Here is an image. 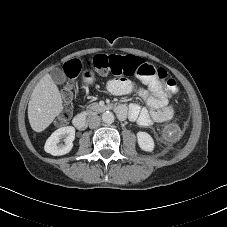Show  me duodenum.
<instances>
[{"instance_id":"obj_1","label":"duodenum","mask_w":227,"mask_h":227,"mask_svg":"<svg viewBox=\"0 0 227 227\" xmlns=\"http://www.w3.org/2000/svg\"><path fill=\"white\" fill-rule=\"evenodd\" d=\"M115 112L120 118H125L127 110L124 106L118 105L115 107ZM73 125L78 130H85L88 127V117L84 114L77 115L73 120Z\"/></svg>"}]
</instances>
